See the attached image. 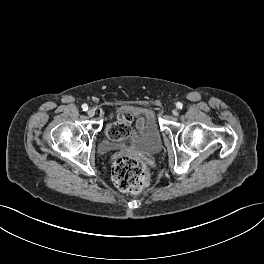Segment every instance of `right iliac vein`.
<instances>
[{
  "instance_id": "63e3f726",
  "label": "right iliac vein",
  "mask_w": 264,
  "mask_h": 264,
  "mask_svg": "<svg viewBox=\"0 0 264 264\" xmlns=\"http://www.w3.org/2000/svg\"><path fill=\"white\" fill-rule=\"evenodd\" d=\"M87 115H88L89 117H93V116L95 115V110H94V109H89V110L87 111Z\"/></svg>"
}]
</instances>
